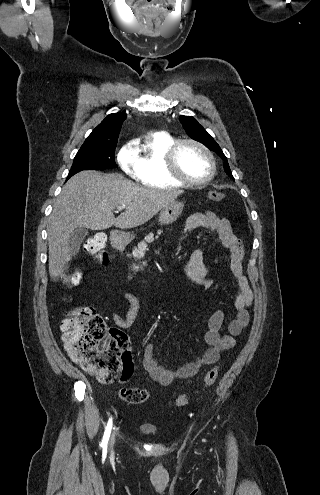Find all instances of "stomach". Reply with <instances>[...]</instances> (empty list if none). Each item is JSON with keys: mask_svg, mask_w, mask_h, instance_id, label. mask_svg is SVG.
<instances>
[{"mask_svg": "<svg viewBox=\"0 0 320 495\" xmlns=\"http://www.w3.org/2000/svg\"><path fill=\"white\" fill-rule=\"evenodd\" d=\"M184 208V204L178 201H173L165 206L159 215V222L161 225H168L175 222L181 215ZM133 236L130 233H119L115 237V244L122 246L128 244L132 240Z\"/></svg>", "mask_w": 320, "mask_h": 495, "instance_id": "0dacf381", "label": "stomach"}]
</instances>
